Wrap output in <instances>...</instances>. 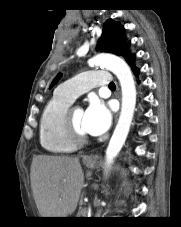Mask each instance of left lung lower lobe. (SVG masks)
Returning a JSON list of instances; mask_svg holds the SVG:
<instances>
[{"label": "left lung lower lobe", "mask_w": 181, "mask_h": 227, "mask_svg": "<svg viewBox=\"0 0 181 227\" xmlns=\"http://www.w3.org/2000/svg\"><path fill=\"white\" fill-rule=\"evenodd\" d=\"M124 57L126 58V61L131 65L134 73L137 75L138 72H139V70L135 68L134 63H133L134 62L135 55H132L130 53H127Z\"/></svg>", "instance_id": "left-lung-lower-lobe-1"}]
</instances>
